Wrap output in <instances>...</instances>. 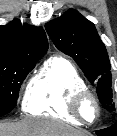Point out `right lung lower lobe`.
Returning a JSON list of instances; mask_svg holds the SVG:
<instances>
[{"label":"right lung lower lobe","instance_id":"obj_1","mask_svg":"<svg viewBox=\"0 0 117 136\" xmlns=\"http://www.w3.org/2000/svg\"><path fill=\"white\" fill-rule=\"evenodd\" d=\"M11 110V108H0V117L8 114Z\"/></svg>","mask_w":117,"mask_h":136}]
</instances>
